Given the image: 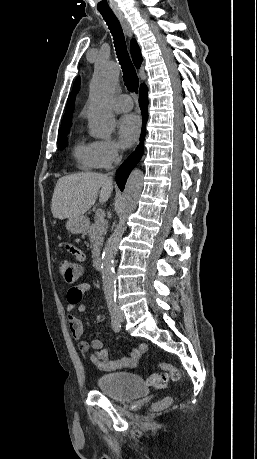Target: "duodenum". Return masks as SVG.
Masks as SVG:
<instances>
[{"label":"duodenum","instance_id":"duodenum-1","mask_svg":"<svg viewBox=\"0 0 257 459\" xmlns=\"http://www.w3.org/2000/svg\"><path fill=\"white\" fill-rule=\"evenodd\" d=\"M94 266L96 269H100L102 267V258L100 255L94 256Z\"/></svg>","mask_w":257,"mask_h":459}]
</instances>
